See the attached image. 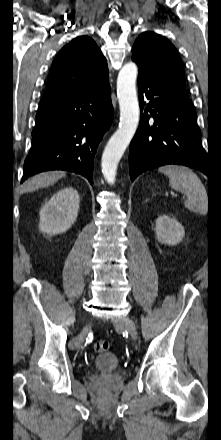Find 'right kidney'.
<instances>
[{"mask_svg":"<svg viewBox=\"0 0 221 440\" xmlns=\"http://www.w3.org/2000/svg\"><path fill=\"white\" fill-rule=\"evenodd\" d=\"M79 201L73 187L57 191L40 211V231L49 235L67 231L77 219Z\"/></svg>","mask_w":221,"mask_h":440,"instance_id":"obj_1","label":"right kidney"}]
</instances>
